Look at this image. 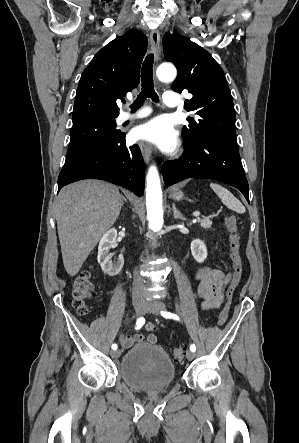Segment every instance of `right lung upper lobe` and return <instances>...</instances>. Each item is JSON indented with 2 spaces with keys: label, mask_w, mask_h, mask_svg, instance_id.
<instances>
[{
  "label": "right lung upper lobe",
  "mask_w": 299,
  "mask_h": 443,
  "mask_svg": "<svg viewBox=\"0 0 299 443\" xmlns=\"http://www.w3.org/2000/svg\"><path fill=\"white\" fill-rule=\"evenodd\" d=\"M147 50V38L132 30L96 53L79 81L73 123L95 117H117V99L139 84V72Z\"/></svg>",
  "instance_id": "right-lung-upper-lobe-1"
}]
</instances>
